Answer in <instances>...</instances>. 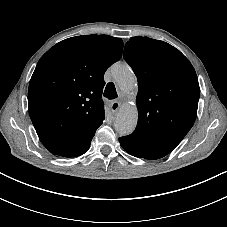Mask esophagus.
<instances>
[{
  "label": "esophagus",
  "instance_id": "1",
  "mask_svg": "<svg viewBox=\"0 0 227 227\" xmlns=\"http://www.w3.org/2000/svg\"><path fill=\"white\" fill-rule=\"evenodd\" d=\"M120 106H121V103L119 101L112 102L111 106H110L111 111L114 112V113L117 112L119 110Z\"/></svg>",
  "mask_w": 227,
  "mask_h": 227
}]
</instances>
